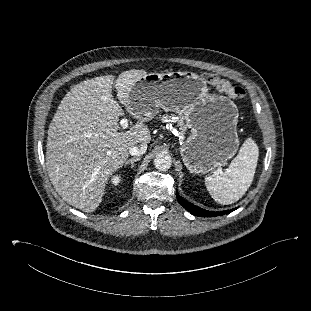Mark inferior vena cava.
Instances as JSON below:
<instances>
[{"label":"inferior vena cava","mask_w":311,"mask_h":311,"mask_svg":"<svg viewBox=\"0 0 311 311\" xmlns=\"http://www.w3.org/2000/svg\"><path fill=\"white\" fill-rule=\"evenodd\" d=\"M147 144L143 143L140 146H133L130 148L129 153L132 156H140L146 152Z\"/></svg>","instance_id":"inferior-vena-cava-1"}]
</instances>
